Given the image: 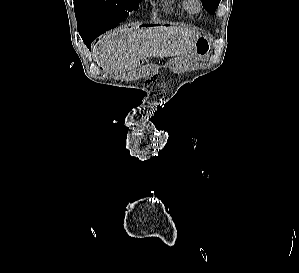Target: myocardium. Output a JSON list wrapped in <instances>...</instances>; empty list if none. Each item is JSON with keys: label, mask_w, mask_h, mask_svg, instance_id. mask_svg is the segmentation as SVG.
I'll return each instance as SVG.
<instances>
[{"label": "myocardium", "mask_w": 299, "mask_h": 273, "mask_svg": "<svg viewBox=\"0 0 299 273\" xmlns=\"http://www.w3.org/2000/svg\"><path fill=\"white\" fill-rule=\"evenodd\" d=\"M188 2L192 12L197 13L202 9L201 0H188Z\"/></svg>", "instance_id": "myocardium-1"}]
</instances>
